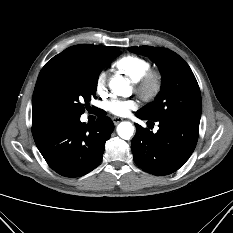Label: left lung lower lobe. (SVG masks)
<instances>
[{"label":"left lung lower lobe","instance_id":"0a47b994","mask_svg":"<svg viewBox=\"0 0 233 233\" xmlns=\"http://www.w3.org/2000/svg\"><path fill=\"white\" fill-rule=\"evenodd\" d=\"M143 120L147 118L136 112ZM150 122V121H149ZM153 133L135 124L131 149L135 163L153 175H168L178 170L191 156L197 144L200 118L174 116L158 120Z\"/></svg>","mask_w":233,"mask_h":233}]
</instances>
